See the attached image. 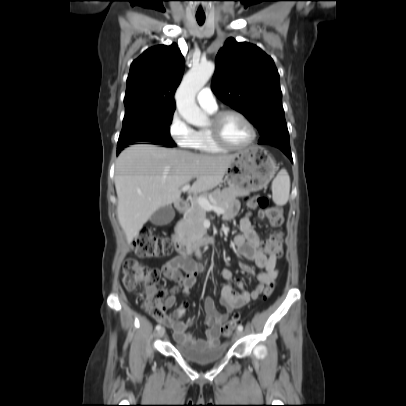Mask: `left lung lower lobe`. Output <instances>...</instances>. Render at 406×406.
I'll return each mask as SVG.
<instances>
[{
  "label": "left lung lower lobe",
  "instance_id": "0a47b994",
  "mask_svg": "<svg viewBox=\"0 0 406 406\" xmlns=\"http://www.w3.org/2000/svg\"><path fill=\"white\" fill-rule=\"evenodd\" d=\"M266 145H274L275 147L279 148L280 150H282L289 158L291 161L292 160V155H291V150H290V145H276V144H266Z\"/></svg>",
  "mask_w": 406,
  "mask_h": 406
}]
</instances>
